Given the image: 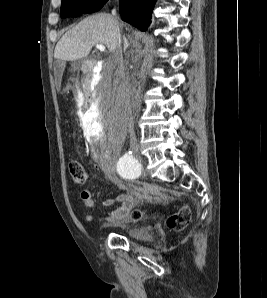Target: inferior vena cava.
<instances>
[{
  "mask_svg": "<svg viewBox=\"0 0 267 298\" xmlns=\"http://www.w3.org/2000/svg\"><path fill=\"white\" fill-rule=\"evenodd\" d=\"M112 15H116V10L112 11ZM116 19V18H115ZM116 33L118 36V46L113 51L110 65L114 68L117 66L116 76L120 79L117 88L116 107L120 115L132 125V111H131V93L127 82L125 81V66L122 58L121 40H120V29L119 26L115 25Z\"/></svg>",
  "mask_w": 267,
  "mask_h": 298,
  "instance_id": "obj_1",
  "label": "inferior vena cava"
}]
</instances>
